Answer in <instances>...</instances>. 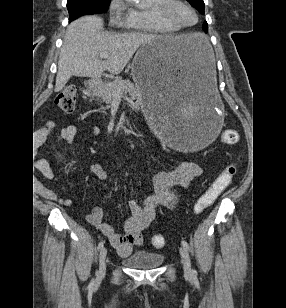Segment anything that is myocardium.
Returning <instances> with one entry per match:
<instances>
[{
	"label": "myocardium",
	"mask_w": 286,
	"mask_h": 308,
	"mask_svg": "<svg viewBox=\"0 0 286 308\" xmlns=\"http://www.w3.org/2000/svg\"><path fill=\"white\" fill-rule=\"evenodd\" d=\"M179 5H182L186 8H188L189 10H191L194 13L196 19H195V22L193 24L185 25V24H182L177 19L176 15H175V8ZM155 11L157 12V14L162 19H164L167 22L177 26L180 29L191 28V27L195 26L198 23V20H199V16H198L196 9L193 6H191L188 2H186L185 0H164L162 4L158 5L155 8Z\"/></svg>",
	"instance_id": "obj_1"
}]
</instances>
